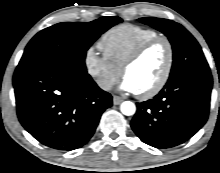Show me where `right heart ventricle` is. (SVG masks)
<instances>
[{
	"instance_id": "1",
	"label": "right heart ventricle",
	"mask_w": 220,
	"mask_h": 173,
	"mask_svg": "<svg viewBox=\"0 0 220 173\" xmlns=\"http://www.w3.org/2000/svg\"><path fill=\"white\" fill-rule=\"evenodd\" d=\"M159 36L155 30L134 24L111 28L100 39L98 46L104 57L122 70L128 57L144 42Z\"/></svg>"
}]
</instances>
